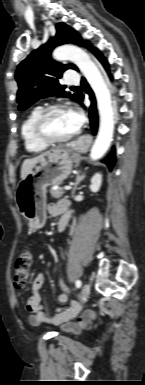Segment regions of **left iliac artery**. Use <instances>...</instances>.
Returning a JSON list of instances; mask_svg holds the SVG:
<instances>
[{
    "label": "left iliac artery",
    "instance_id": "1",
    "mask_svg": "<svg viewBox=\"0 0 145 385\" xmlns=\"http://www.w3.org/2000/svg\"><path fill=\"white\" fill-rule=\"evenodd\" d=\"M75 285L77 288H80L82 285V282L80 280H76Z\"/></svg>",
    "mask_w": 145,
    "mask_h": 385
}]
</instances>
